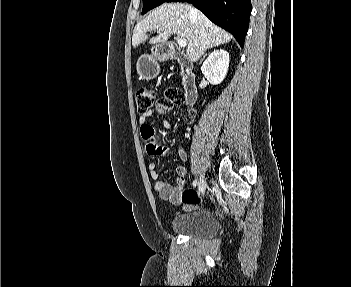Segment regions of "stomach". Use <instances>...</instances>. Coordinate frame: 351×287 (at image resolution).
I'll use <instances>...</instances> for the list:
<instances>
[{
  "instance_id": "stomach-1",
  "label": "stomach",
  "mask_w": 351,
  "mask_h": 287,
  "mask_svg": "<svg viewBox=\"0 0 351 287\" xmlns=\"http://www.w3.org/2000/svg\"><path fill=\"white\" fill-rule=\"evenodd\" d=\"M168 54L163 51L162 46L156 45L151 49V54H144L139 57L136 69L142 79L150 80L155 78L160 71L159 60L165 59Z\"/></svg>"
}]
</instances>
